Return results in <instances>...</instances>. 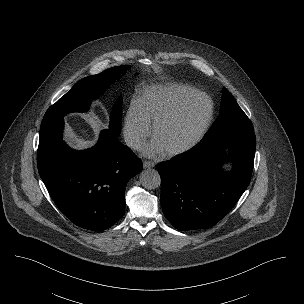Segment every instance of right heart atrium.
Instances as JSON below:
<instances>
[{
  "label": "right heart atrium",
  "instance_id": "right-heart-atrium-1",
  "mask_svg": "<svg viewBox=\"0 0 304 304\" xmlns=\"http://www.w3.org/2000/svg\"><path fill=\"white\" fill-rule=\"evenodd\" d=\"M123 131L125 141L132 149L140 148L150 135V124L137 102H132L126 112Z\"/></svg>",
  "mask_w": 304,
  "mask_h": 304
}]
</instances>
